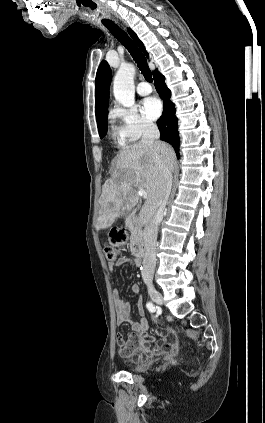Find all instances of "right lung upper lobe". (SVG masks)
<instances>
[{
	"label": "right lung upper lobe",
	"mask_w": 265,
	"mask_h": 423,
	"mask_svg": "<svg viewBox=\"0 0 265 423\" xmlns=\"http://www.w3.org/2000/svg\"><path fill=\"white\" fill-rule=\"evenodd\" d=\"M128 33L139 46V48L148 56L143 43L138 39L137 35L128 28ZM111 83V69L109 65L103 61L101 62L95 81V112L97 123H100L102 118L108 115V101H109V86Z\"/></svg>",
	"instance_id": "1"
}]
</instances>
